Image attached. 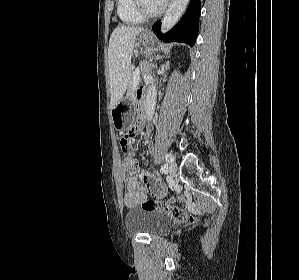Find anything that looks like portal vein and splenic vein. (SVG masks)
I'll return each mask as SVG.
<instances>
[{
	"instance_id": "1",
	"label": "portal vein and splenic vein",
	"mask_w": 299,
	"mask_h": 280,
	"mask_svg": "<svg viewBox=\"0 0 299 280\" xmlns=\"http://www.w3.org/2000/svg\"><path fill=\"white\" fill-rule=\"evenodd\" d=\"M140 80V70L136 69L133 76V85L137 86Z\"/></svg>"
}]
</instances>
